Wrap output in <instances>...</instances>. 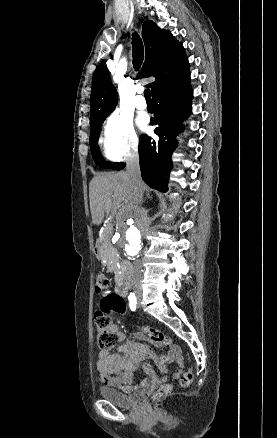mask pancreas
Masks as SVG:
<instances>
[{
  "label": "pancreas",
  "instance_id": "cf45deb5",
  "mask_svg": "<svg viewBox=\"0 0 277 438\" xmlns=\"http://www.w3.org/2000/svg\"><path fill=\"white\" fill-rule=\"evenodd\" d=\"M112 231H103L98 238V251L102 253V266L103 267H115L117 253L113 251L112 241H113Z\"/></svg>",
  "mask_w": 277,
  "mask_h": 438
}]
</instances>
